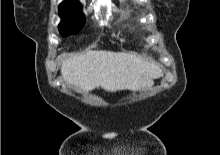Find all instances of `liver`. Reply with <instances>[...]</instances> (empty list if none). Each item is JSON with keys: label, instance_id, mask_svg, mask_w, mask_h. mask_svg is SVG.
Wrapping results in <instances>:
<instances>
[{"label": "liver", "instance_id": "6515ba94", "mask_svg": "<svg viewBox=\"0 0 220 155\" xmlns=\"http://www.w3.org/2000/svg\"><path fill=\"white\" fill-rule=\"evenodd\" d=\"M61 74L65 82L83 93L98 87L116 92L149 88L162 70L134 54L100 50L70 56L63 61Z\"/></svg>", "mask_w": 220, "mask_h": 155}]
</instances>
